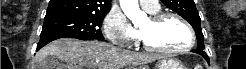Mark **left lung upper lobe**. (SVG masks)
I'll return each instance as SVG.
<instances>
[{"label":"left lung upper lobe","mask_w":246,"mask_h":69,"mask_svg":"<svg viewBox=\"0 0 246 69\" xmlns=\"http://www.w3.org/2000/svg\"><path fill=\"white\" fill-rule=\"evenodd\" d=\"M168 8L178 13L196 32L199 50H204V36L201 29V20L193 0H161Z\"/></svg>","instance_id":"5c2ea615"}]
</instances>
